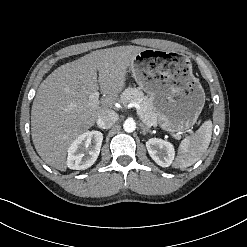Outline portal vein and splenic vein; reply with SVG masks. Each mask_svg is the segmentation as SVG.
I'll list each match as a JSON object with an SVG mask.
<instances>
[{"instance_id":"18ae733b","label":"portal vein and splenic vein","mask_w":247,"mask_h":247,"mask_svg":"<svg viewBox=\"0 0 247 247\" xmlns=\"http://www.w3.org/2000/svg\"><path fill=\"white\" fill-rule=\"evenodd\" d=\"M98 98H99V92H94L92 93L90 96H89V101L92 103V104H95L98 102ZM139 106V105H138ZM138 115L140 117V119L145 122V120L143 119V116L141 115L140 111H138ZM148 126H151L152 124L151 123H146ZM173 137L175 138H179L180 136H178L177 134H172Z\"/></svg>"}]
</instances>
